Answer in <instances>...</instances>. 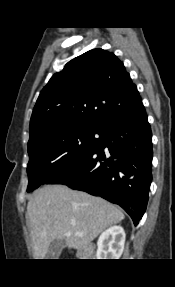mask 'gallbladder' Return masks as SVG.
<instances>
[{
	"label": "gallbladder",
	"mask_w": 175,
	"mask_h": 287,
	"mask_svg": "<svg viewBox=\"0 0 175 287\" xmlns=\"http://www.w3.org/2000/svg\"><path fill=\"white\" fill-rule=\"evenodd\" d=\"M65 245H66L65 238L54 240L48 249L46 259H57V257L60 255Z\"/></svg>",
	"instance_id": "bac80fb5"
}]
</instances>
